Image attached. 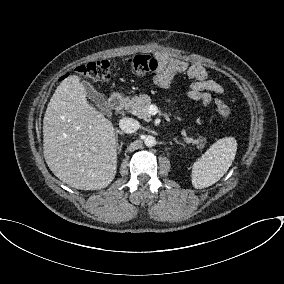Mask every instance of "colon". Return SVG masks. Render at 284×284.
I'll return each instance as SVG.
<instances>
[{"instance_id":"1","label":"colon","mask_w":284,"mask_h":284,"mask_svg":"<svg viewBox=\"0 0 284 284\" xmlns=\"http://www.w3.org/2000/svg\"><path fill=\"white\" fill-rule=\"evenodd\" d=\"M127 68L130 73L135 75H146L156 71L159 67V61L147 54H136L130 56L127 61ZM76 71L95 81H105L111 76L112 61L109 59L92 61L76 68ZM216 110L225 120L231 118L230 108L221 99H214Z\"/></svg>"}]
</instances>
